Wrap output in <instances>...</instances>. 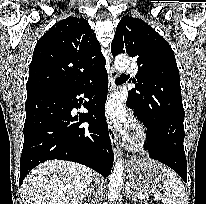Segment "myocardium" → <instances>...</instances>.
Returning a JSON list of instances; mask_svg holds the SVG:
<instances>
[{"mask_svg":"<svg viewBox=\"0 0 206 204\" xmlns=\"http://www.w3.org/2000/svg\"><path fill=\"white\" fill-rule=\"evenodd\" d=\"M149 141L146 127L142 123H137L130 138V146L133 150H142Z\"/></svg>","mask_w":206,"mask_h":204,"instance_id":"obj_1","label":"myocardium"}]
</instances>
